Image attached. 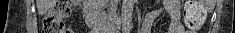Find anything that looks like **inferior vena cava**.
Here are the masks:
<instances>
[{
	"label": "inferior vena cava",
	"mask_w": 235,
	"mask_h": 33,
	"mask_svg": "<svg viewBox=\"0 0 235 33\" xmlns=\"http://www.w3.org/2000/svg\"><path fill=\"white\" fill-rule=\"evenodd\" d=\"M113 16H114V11L113 9L111 8L109 11H108V19L109 20H113Z\"/></svg>",
	"instance_id": "obj_1"
}]
</instances>
